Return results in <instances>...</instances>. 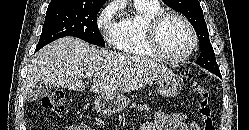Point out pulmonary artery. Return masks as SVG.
Segmentation results:
<instances>
[{"label":"pulmonary artery","instance_id":"e3ab8cb5","mask_svg":"<svg viewBox=\"0 0 249 130\" xmlns=\"http://www.w3.org/2000/svg\"><path fill=\"white\" fill-rule=\"evenodd\" d=\"M145 1H150V2H157V0H145Z\"/></svg>","mask_w":249,"mask_h":130}]
</instances>
